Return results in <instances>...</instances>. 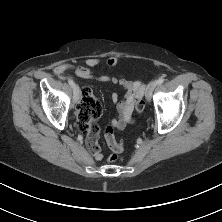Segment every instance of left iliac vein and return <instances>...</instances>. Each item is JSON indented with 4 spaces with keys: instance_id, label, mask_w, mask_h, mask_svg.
Listing matches in <instances>:
<instances>
[{
    "instance_id": "4c4485c4",
    "label": "left iliac vein",
    "mask_w": 222,
    "mask_h": 222,
    "mask_svg": "<svg viewBox=\"0 0 222 222\" xmlns=\"http://www.w3.org/2000/svg\"><path fill=\"white\" fill-rule=\"evenodd\" d=\"M157 86V83L156 81H151L147 88H146V92H145V98L147 101H150L151 100V97H152V94H153V91L154 89L156 88Z\"/></svg>"
}]
</instances>
